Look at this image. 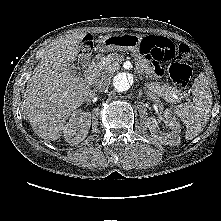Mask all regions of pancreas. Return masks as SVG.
Masks as SVG:
<instances>
[{
  "instance_id": "pancreas-1",
  "label": "pancreas",
  "mask_w": 221,
  "mask_h": 221,
  "mask_svg": "<svg viewBox=\"0 0 221 221\" xmlns=\"http://www.w3.org/2000/svg\"><path fill=\"white\" fill-rule=\"evenodd\" d=\"M124 61V56L112 53L108 54L104 57V62L99 63V68L102 71L111 72L115 71L119 68V64ZM160 82H151L150 84H146L151 90L157 93L159 96L164 97L167 101L173 99V94L181 95L179 90L175 87L169 86V84L160 85Z\"/></svg>"
}]
</instances>
